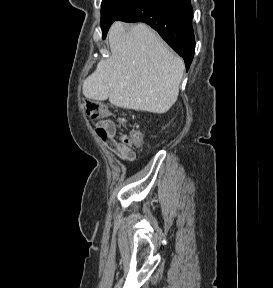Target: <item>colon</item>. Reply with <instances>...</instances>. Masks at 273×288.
<instances>
[{"instance_id": "1", "label": "colon", "mask_w": 273, "mask_h": 288, "mask_svg": "<svg viewBox=\"0 0 273 288\" xmlns=\"http://www.w3.org/2000/svg\"><path fill=\"white\" fill-rule=\"evenodd\" d=\"M85 108L89 119L93 122H98L101 119L110 116L106 105L99 101L89 100L86 102ZM121 124L123 125L124 123L121 122ZM96 132L100 138L105 135V131L101 126L96 129ZM141 140V134L137 131H130L127 134L122 135V141L127 145L138 146L141 143Z\"/></svg>"}]
</instances>
